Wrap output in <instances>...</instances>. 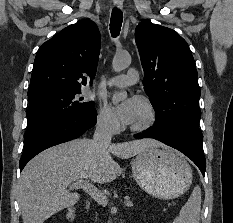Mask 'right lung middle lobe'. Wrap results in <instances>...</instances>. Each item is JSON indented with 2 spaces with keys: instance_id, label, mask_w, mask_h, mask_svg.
Here are the masks:
<instances>
[{
  "instance_id": "obj_1",
  "label": "right lung middle lobe",
  "mask_w": 233,
  "mask_h": 223,
  "mask_svg": "<svg viewBox=\"0 0 233 223\" xmlns=\"http://www.w3.org/2000/svg\"><path fill=\"white\" fill-rule=\"evenodd\" d=\"M81 87H56L28 94V136L35 131L80 111L94 108L80 97Z\"/></svg>"
}]
</instances>
